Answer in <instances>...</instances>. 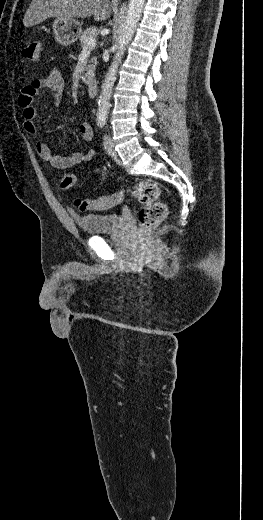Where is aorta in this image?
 <instances>
[{
  "label": "aorta",
  "mask_w": 263,
  "mask_h": 520,
  "mask_svg": "<svg viewBox=\"0 0 263 520\" xmlns=\"http://www.w3.org/2000/svg\"><path fill=\"white\" fill-rule=\"evenodd\" d=\"M144 2L145 0H130L129 2L127 16L120 31L118 51L113 58L101 87L102 89L98 100L97 112V118L100 121H105L107 118L116 73L121 63L122 55L134 36L137 24L142 14Z\"/></svg>",
  "instance_id": "1"
}]
</instances>
